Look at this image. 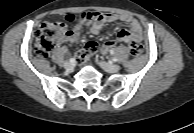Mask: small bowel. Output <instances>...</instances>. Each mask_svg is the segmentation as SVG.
Listing matches in <instances>:
<instances>
[{"label":"small bowel","instance_id":"c3829d8e","mask_svg":"<svg viewBox=\"0 0 194 133\" xmlns=\"http://www.w3.org/2000/svg\"><path fill=\"white\" fill-rule=\"evenodd\" d=\"M115 21H120L126 24L128 29L119 30L116 40L104 42L101 46L102 54L106 55L112 52L118 42H125L127 44H130L132 41L141 42L142 27L136 18L127 15H116L112 13L95 11L83 13L72 29L68 30L60 39V42H68L71 44L77 42L84 26H88L90 32L97 35L101 32L105 24Z\"/></svg>","mask_w":194,"mask_h":133}]
</instances>
